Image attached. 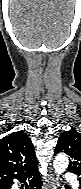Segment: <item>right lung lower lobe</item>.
I'll return each instance as SVG.
<instances>
[{
  "label": "right lung lower lobe",
  "mask_w": 81,
  "mask_h": 189,
  "mask_svg": "<svg viewBox=\"0 0 81 189\" xmlns=\"http://www.w3.org/2000/svg\"><path fill=\"white\" fill-rule=\"evenodd\" d=\"M18 180L26 181L29 180V185H26V189H41V182H40V176L37 171V166L34 167L29 172L17 177ZM13 184V181L7 184L0 185V189H10L11 185Z\"/></svg>",
  "instance_id": "right-lung-lower-lobe-1"
}]
</instances>
